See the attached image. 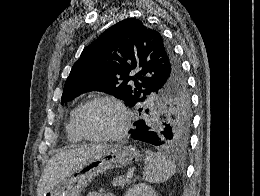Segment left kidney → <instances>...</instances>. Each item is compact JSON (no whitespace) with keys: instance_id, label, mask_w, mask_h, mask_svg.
Instances as JSON below:
<instances>
[{"instance_id":"obj_1","label":"left kidney","mask_w":260,"mask_h":196,"mask_svg":"<svg viewBox=\"0 0 260 196\" xmlns=\"http://www.w3.org/2000/svg\"><path fill=\"white\" fill-rule=\"evenodd\" d=\"M125 196H157V194L148 184H136L127 190Z\"/></svg>"}]
</instances>
